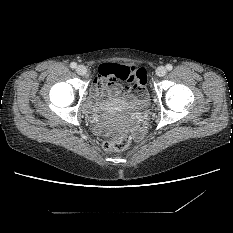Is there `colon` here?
<instances>
[{
    "label": "colon",
    "mask_w": 233,
    "mask_h": 233,
    "mask_svg": "<svg viewBox=\"0 0 233 233\" xmlns=\"http://www.w3.org/2000/svg\"><path fill=\"white\" fill-rule=\"evenodd\" d=\"M114 78L132 81L134 84L133 86H137L135 78L130 77L128 70L124 67H117L115 69ZM104 134L109 138L103 145L106 152L114 153L124 150L132 144V138L126 131H115L106 128Z\"/></svg>",
    "instance_id": "5ec220e1"
}]
</instances>
